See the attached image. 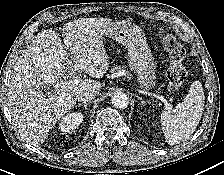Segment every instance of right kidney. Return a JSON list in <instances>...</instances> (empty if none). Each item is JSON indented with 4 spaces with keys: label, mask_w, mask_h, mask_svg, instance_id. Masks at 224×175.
Here are the masks:
<instances>
[{
    "label": "right kidney",
    "mask_w": 224,
    "mask_h": 175,
    "mask_svg": "<svg viewBox=\"0 0 224 175\" xmlns=\"http://www.w3.org/2000/svg\"><path fill=\"white\" fill-rule=\"evenodd\" d=\"M83 121V115L80 112H74L62 117L59 123V130L63 133L73 132Z\"/></svg>",
    "instance_id": "ca27d5eb"
}]
</instances>
